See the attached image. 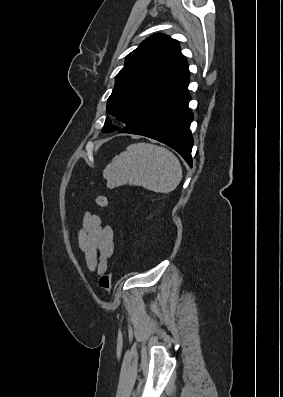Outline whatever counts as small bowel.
Returning <instances> with one entry per match:
<instances>
[{
    "label": "small bowel",
    "instance_id": "obj_1",
    "mask_svg": "<svg viewBox=\"0 0 283 397\" xmlns=\"http://www.w3.org/2000/svg\"><path fill=\"white\" fill-rule=\"evenodd\" d=\"M78 243L88 269L103 274L115 249L112 227L100 215L86 212L78 233Z\"/></svg>",
    "mask_w": 283,
    "mask_h": 397
}]
</instances>
